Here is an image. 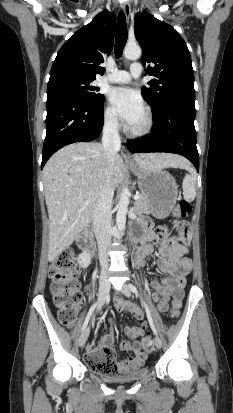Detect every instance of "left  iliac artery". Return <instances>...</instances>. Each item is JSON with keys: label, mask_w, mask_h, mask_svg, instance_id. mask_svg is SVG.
<instances>
[{"label": "left iliac artery", "mask_w": 233, "mask_h": 413, "mask_svg": "<svg viewBox=\"0 0 233 413\" xmlns=\"http://www.w3.org/2000/svg\"><path fill=\"white\" fill-rule=\"evenodd\" d=\"M129 288H130V290H131L136 296H139V292H138L137 288H136L133 284H129ZM140 299H141V302H142V304H143V306H144V308H145V311H146V313H147V317H148L149 324H150L153 332H154L155 334H157L156 328H155V326H154V323H153V320H152V317H151L150 310H149L147 304L145 303V301L143 300V298L140 297Z\"/></svg>", "instance_id": "1"}]
</instances>
